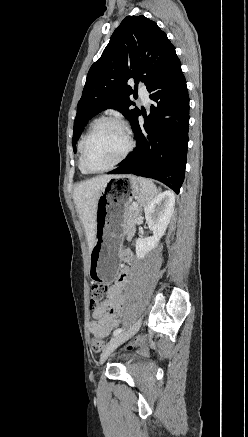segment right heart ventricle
<instances>
[{"label": "right heart ventricle", "instance_id": "right-heart-ventricle-1", "mask_svg": "<svg viewBox=\"0 0 248 437\" xmlns=\"http://www.w3.org/2000/svg\"><path fill=\"white\" fill-rule=\"evenodd\" d=\"M99 121V119H94V120H92L91 121V123L89 124V126H88V128H87V130H86V132L84 133V135L82 136V138L80 139V141H79V145H78V148H79V169H80V171H81V173H83V174H88L89 172H87L85 169H84V167H83V165H82V161H81V149H82V144H83V141H84V139H85V137L87 136V134L89 133V131L92 129V127L97 123Z\"/></svg>", "mask_w": 248, "mask_h": 437}]
</instances>
